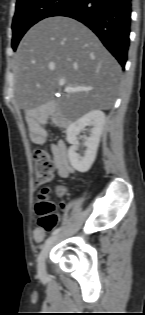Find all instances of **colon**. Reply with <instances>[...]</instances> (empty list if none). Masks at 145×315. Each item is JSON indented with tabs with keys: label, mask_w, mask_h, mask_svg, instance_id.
<instances>
[{
	"label": "colon",
	"mask_w": 145,
	"mask_h": 315,
	"mask_svg": "<svg viewBox=\"0 0 145 315\" xmlns=\"http://www.w3.org/2000/svg\"><path fill=\"white\" fill-rule=\"evenodd\" d=\"M33 158L37 180L39 183L43 184L52 176V159L50 155L41 148H37L34 151ZM36 210L40 215L38 225L44 230H51L60 219V215L55 211V204L49 198L47 189H43L39 193V201Z\"/></svg>",
	"instance_id": "1"
}]
</instances>
